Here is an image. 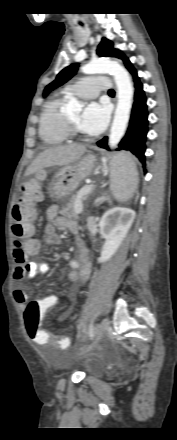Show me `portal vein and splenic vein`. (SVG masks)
Segmentation results:
<instances>
[{
  "label": "portal vein and splenic vein",
  "instance_id": "portal-vein-and-splenic-vein-1",
  "mask_svg": "<svg viewBox=\"0 0 177 440\" xmlns=\"http://www.w3.org/2000/svg\"><path fill=\"white\" fill-rule=\"evenodd\" d=\"M90 190H91V189H88L86 192H84V193L82 194V196H85L86 194H88ZM82 209H83L82 205H81V204H77L76 212H77L78 214H80V213L82 212Z\"/></svg>",
  "mask_w": 177,
  "mask_h": 440
}]
</instances>
